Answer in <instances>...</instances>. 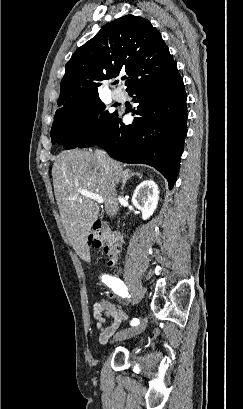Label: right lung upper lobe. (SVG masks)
<instances>
[{
  "mask_svg": "<svg viewBox=\"0 0 243 409\" xmlns=\"http://www.w3.org/2000/svg\"><path fill=\"white\" fill-rule=\"evenodd\" d=\"M176 67L161 34L142 17L126 15L105 25L66 64L58 105L94 97L104 82L125 73L127 90Z\"/></svg>",
  "mask_w": 243,
  "mask_h": 409,
  "instance_id": "right-lung-upper-lobe-1",
  "label": "right lung upper lobe"
}]
</instances>
